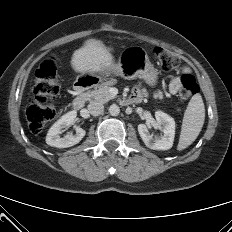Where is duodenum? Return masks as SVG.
Masks as SVG:
<instances>
[{
    "label": "duodenum",
    "instance_id": "duodenum-1",
    "mask_svg": "<svg viewBox=\"0 0 232 232\" xmlns=\"http://www.w3.org/2000/svg\"><path fill=\"white\" fill-rule=\"evenodd\" d=\"M95 84H96V82H91V83H88V84H78L75 87V97H74V100H73V108L75 110H80V109H82L84 107L85 101H86V93ZM140 101H141L140 98L134 97V96L131 95V96H128L126 98H123L121 100V103L123 105H131V104L139 103Z\"/></svg>",
    "mask_w": 232,
    "mask_h": 232
}]
</instances>
